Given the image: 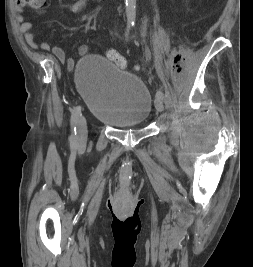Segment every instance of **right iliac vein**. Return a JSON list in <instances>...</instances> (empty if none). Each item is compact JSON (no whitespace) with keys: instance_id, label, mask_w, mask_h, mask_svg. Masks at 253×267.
<instances>
[{"instance_id":"obj_1","label":"right iliac vein","mask_w":253,"mask_h":267,"mask_svg":"<svg viewBox=\"0 0 253 267\" xmlns=\"http://www.w3.org/2000/svg\"><path fill=\"white\" fill-rule=\"evenodd\" d=\"M88 135L87 123L84 116H81L78 120V141L80 144H84L86 142Z\"/></svg>"}]
</instances>
